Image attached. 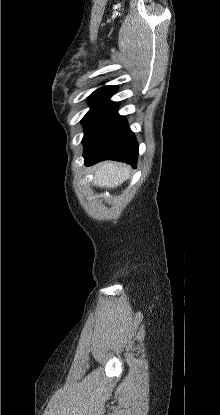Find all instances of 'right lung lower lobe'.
Returning a JSON list of instances; mask_svg holds the SVG:
<instances>
[{
    "mask_svg": "<svg viewBox=\"0 0 220 415\" xmlns=\"http://www.w3.org/2000/svg\"><path fill=\"white\" fill-rule=\"evenodd\" d=\"M138 143L126 119L116 114L104 128L93 147L84 151L85 165L103 160L126 162L134 168L138 158Z\"/></svg>",
    "mask_w": 220,
    "mask_h": 415,
    "instance_id": "right-lung-lower-lobe-1",
    "label": "right lung lower lobe"
}]
</instances>
